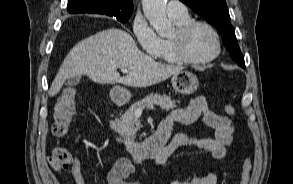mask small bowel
<instances>
[{
    "mask_svg": "<svg viewBox=\"0 0 293 184\" xmlns=\"http://www.w3.org/2000/svg\"><path fill=\"white\" fill-rule=\"evenodd\" d=\"M166 119L183 125H190L201 120L214 130V137H198L186 133L174 136L167 148L155 158L159 167H165L171 155L181 146L195 145L211 152L215 159L221 160L225 157L227 148L233 143L234 125L232 121L226 116L211 111L203 96L191 99L184 108L172 110ZM50 164L53 169L65 173L72 184H86L81 173V160L78 156L72 157L66 164L51 162ZM133 172L134 166L129 159L118 158L107 173V183L140 184L130 178ZM165 184H217V177L214 173L195 176L184 175L179 180H170Z\"/></svg>",
    "mask_w": 293,
    "mask_h": 184,
    "instance_id": "c3829d8e",
    "label": "small bowel"
}]
</instances>
